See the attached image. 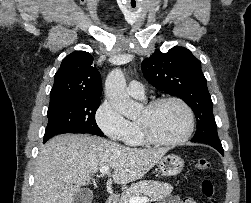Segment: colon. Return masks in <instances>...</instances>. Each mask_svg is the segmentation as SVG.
Listing matches in <instances>:
<instances>
[{
	"instance_id": "obj_1",
	"label": "colon",
	"mask_w": 251,
	"mask_h": 203,
	"mask_svg": "<svg viewBox=\"0 0 251 203\" xmlns=\"http://www.w3.org/2000/svg\"><path fill=\"white\" fill-rule=\"evenodd\" d=\"M196 167L199 171H209L211 169V162L206 158H199L196 162ZM201 192L206 197L207 203H216L215 200V185L213 181L204 179L201 182Z\"/></svg>"
}]
</instances>
